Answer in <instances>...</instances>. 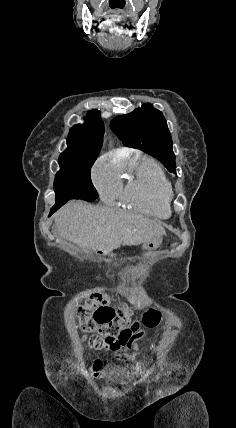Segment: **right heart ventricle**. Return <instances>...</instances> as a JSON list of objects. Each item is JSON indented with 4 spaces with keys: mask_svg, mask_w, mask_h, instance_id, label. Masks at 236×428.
<instances>
[{
    "mask_svg": "<svg viewBox=\"0 0 236 428\" xmlns=\"http://www.w3.org/2000/svg\"><path fill=\"white\" fill-rule=\"evenodd\" d=\"M119 172L128 171L121 198L131 207L155 217L171 213L174 186L166 172L150 157L137 154L131 161L117 164Z\"/></svg>",
    "mask_w": 236,
    "mask_h": 428,
    "instance_id": "1",
    "label": "right heart ventricle"
}]
</instances>
